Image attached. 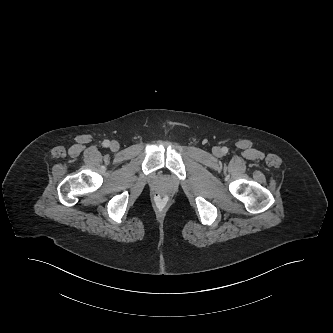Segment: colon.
<instances>
[{"mask_svg": "<svg viewBox=\"0 0 333 333\" xmlns=\"http://www.w3.org/2000/svg\"><path fill=\"white\" fill-rule=\"evenodd\" d=\"M155 198H156L157 200H159V201H162V200H164L166 197H165L164 194H156V195H155Z\"/></svg>", "mask_w": 333, "mask_h": 333, "instance_id": "5ec220e1", "label": "colon"}]
</instances>
